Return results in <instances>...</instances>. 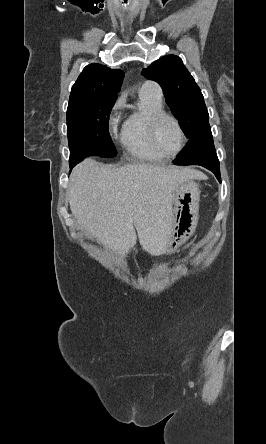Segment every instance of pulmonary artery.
Here are the masks:
<instances>
[{
	"label": "pulmonary artery",
	"instance_id": "e3ab8cb5",
	"mask_svg": "<svg viewBox=\"0 0 266 444\" xmlns=\"http://www.w3.org/2000/svg\"><path fill=\"white\" fill-rule=\"evenodd\" d=\"M140 93L151 95L155 98L162 99L161 87L153 81H146L140 88Z\"/></svg>",
	"mask_w": 266,
	"mask_h": 444
}]
</instances>
